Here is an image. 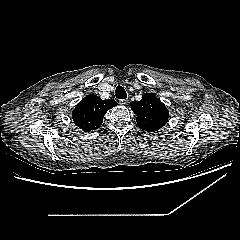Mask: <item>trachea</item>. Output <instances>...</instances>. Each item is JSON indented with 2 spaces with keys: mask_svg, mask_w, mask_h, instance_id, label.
<instances>
[{
  "mask_svg": "<svg viewBox=\"0 0 240 240\" xmlns=\"http://www.w3.org/2000/svg\"><path fill=\"white\" fill-rule=\"evenodd\" d=\"M115 96L118 99H125L127 98V94L122 86H117L115 90Z\"/></svg>",
  "mask_w": 240,
  "mask_h": 240,
  "instance_id": "3493384b",
  "label": "trachea"
}]
</instances>
